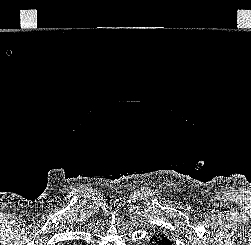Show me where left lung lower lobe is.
<instances>
[{
    "label": "left lung lower lobe",
    "mask_w": 251,
    "mask_h": 245,
    "mask_svg": "<svg viewBox=\"0 0 251 245\" xmlns=\"http://www.w3.org/2000/svg\"><path fill=\"white\" fill-rule=\"evenodd\" d=\"M150 241L151 245H171L169 238L161 232L155 233Z\"/></svg>",
    "instance_id": "obj_1"
}]
</instances>
